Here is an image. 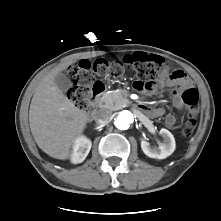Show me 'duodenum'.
I'll use <instances>...</instances> for the list:
<instances>
[{"instance_id":"1","label":"duodenum","mask_w":221,"mask_h":221,"mask_svg":"<svg viewBox=\"0 0 221 221\" xmlns=\"http://www.w3.org/2000/svg\"><path fill=\"white\" fill-rule=\"evenodd\" d=\"M105 90H106V86L101 81L95 82L91 86V90H90L91 93H90V98H89L90 105H89L88 110H86L85 112L86 115L88 116L91 115L94 106L100 101V97L105 92ZM141 110L145 112L146 109L144 106H142Z\"/></svg>"}]
</instances>
